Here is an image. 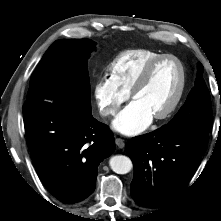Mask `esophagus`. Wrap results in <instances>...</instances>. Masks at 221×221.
Masks as SVG:
<instances>
[{
    "mask_svg": "<svg viewBox=\"0 0 221 221\" xmlns=\"http://www.w3.org/2000/svg\"><path fill=\"white\" fill-rule=\"evenodd\" d=\"M115 143L120 149L124 148L125 146L124 140H122L121 138H116Z\"/></svg>",
    "mask_w": 221,
    "mask_h": 221,
    "instance_id": "obj_1",
    "label": "esophagus"
}]
</instances>
